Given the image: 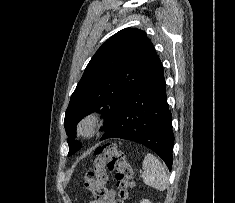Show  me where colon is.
<instances>
[{
	"instance_id": "5ec220e1",
	"label": "colon",
	"mask_w": 235,
	"mask_h": 203,
	"mask_svg": "<svg viewBox=\"0 0 235 203\" xmlns=\"http://www.w3.org/2000/svg\"><path fill=\"white\" fill-rule=\"evenodd\" d=\"M113 172L119 188L117 203H124L128 189L132 187L133 171L125 153L114 144H103L96 148L93 166L84 177L85 187L97 199L107 192L108 173Z\"/></svg>"
}]
</instances>
